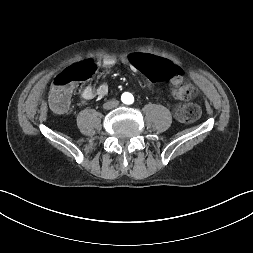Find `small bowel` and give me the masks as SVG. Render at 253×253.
I'll list each match as a JSON object with an SVG mask.
<instances>
[{
    "mask_svg": "<svg viewBox=\"0 0 253 253\" xmlns=\"http://www.w3.org/2000/svg\"><path fill=\"white\" fill-rule=\"evenodd\" d=\"M130 55L131 54L123 56L121 61H122V63L128 65L132 70L138 71L137 69H135L133 67L132 63L129 61V56ZM116 61H117L116 58L113 55H110V54L103 56L102 59H101L102 65L106 68H110V67L114 66ZM181 79L177 82H172V83L174 85H176L181 81ZM108 91H109V88H108L107 84H101L98 87H93L91 85H87L84 88H82L81 97L84 100H91L95 97H104L105 95H107Z\"/></svg>",
    "mask_w": 253,
    "mask_h": 253,
    "instance_id": "c3829d8e",
    "label": "small bowel"
}]
</instances>
